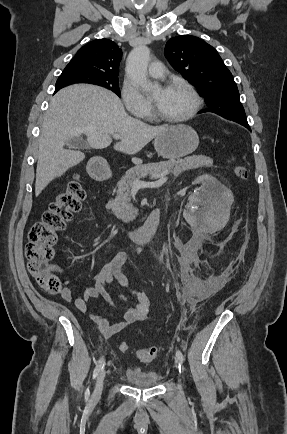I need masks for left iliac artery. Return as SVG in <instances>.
Listing matches in <instances>:
<instances>
[{"label": "left iliac artery", "instance_id": "obj_1", "mask_svg": "<svg viewBox=\"0 0 287 434\" xmlns=\"http://www.w3.org/2000/svg\"><path fill=\"white\" fill-rule=\"evenodd\" d=\"M176 358H177V362H178V365H179V370L181 371V368H182V366H183V363H184V356H183V354H182V352L180 351V350H177L176 351Z\"/></svg>", "mask_w": 287, "mask_h": 434}]
</instances>
